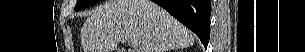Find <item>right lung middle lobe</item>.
Listing matches in <instances>:
<instances>
[{"label": "right lung middle lobe", "mask_w": 305, "mask_h": 52, "mask_svg": "<svg viewBox=\"0 0 305 52\" xmlns=\"http://www.w3.org/2000/svg\"><path fill=\"white\" fill-rule=\"evenodd\" d=\"M100 0H78L75 6V10L79 11L81 9H84L86 7L92 6L96 3H98Z\"/></svg>", "instance_id": "1"}]
</instances>
